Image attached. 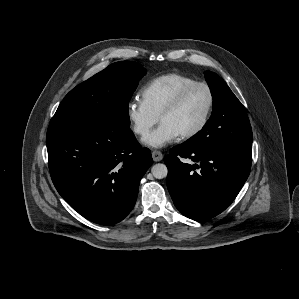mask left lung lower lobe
<instances>
[{"label":"left lung lower lobe","mask_w":299,"mask_h":299,"mask_svg":"<svg viewBox=\"0 0 299 299\" xmlns=\"http://www.w3.org/2000/svg\"><path fill=\"white\" fill-rule=\"evenodd\" d=\"M251 150L218 148L203 150L185 142L164 158L167 187L176 208L196 221L224 211L236 198L251 169ZM188 158L195 164L184 163Z\"/></svg>","instance_id":"1"}]
</instances>
